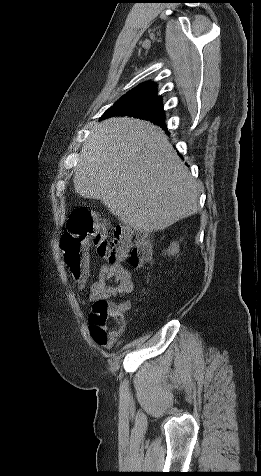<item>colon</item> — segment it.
<instances>
[{"mask_svg": "<svg viewBox=\"0 0 261 476\" xmlns=\"http://www.w3.org/2000/svg\"><path fill=\"white\" fill-rule=\"evenodd\" d=\"M94 246L97 254L111 262L127 260L133 268L148 262L152 247L147 236L136 234L128 226L110 230L87 207L73 210L61 239L64 261L75 282L83 283L88 275L87 249ZM124 308L107 301L93 304L90 314V332L94 341L104 347L113 346L123 330ZM114 322L115 326L110 328Z\"/></svg>", "mask_w": 261, "mask_h": 476, "instance_id": "1", "label": "colon"}]
</instances>
